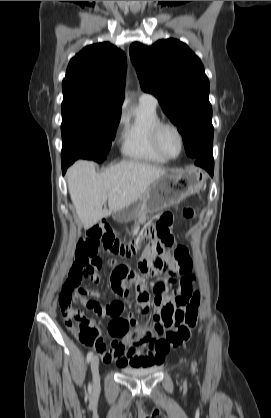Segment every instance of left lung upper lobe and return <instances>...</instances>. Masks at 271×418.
I'll return each mask as SVG.
<instances>
[{"mask_svg":"<svg viewBox=\"0 0 271 418\" xmlns=\"http://www.w3.org/2000/svg\"><path fill=\"white\" fill-rule=\"evenodd\" d=\"M142 89L155 95L183 137L192 158L212 155V107L209 80L200 59L176 39L152 46L135 42L130 47Z\"/></svg>","mask_w":271,"mask_h":418,"instance_id":"obj_1","label":"left lung upper lobe"}]
</instances>
